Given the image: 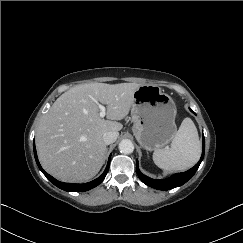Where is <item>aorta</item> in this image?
I'll list each match as a JSON object with an SVG mask.
<instances>
[{"instance_id":"obj_1","label":"aorta","mask_w":243,"mask_h":243,"mask_svg":"<svg viewBox=\"0 0 243 243\" xmlns=\"http://www.w3.org/2000/svg\"><path fill=\"white\" fill-rule=\"evenodd\" d=\"M119 150L123 154H131L134 151V145L131 140L123 139L119 143Z\"/></svg>"}]
</instances>
